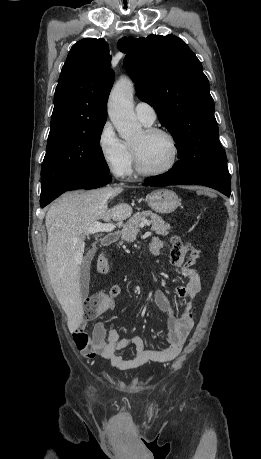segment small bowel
Returning <instances> with one entry per match:
<instances>
[{"label":"small bowel","mask_w":261,"mask_h":459,"mask_svg":"<svg viewBox=\"0 0 261 459\" xmlns=\"http://www.w3.org/2000/svg\"><path fill=\"white\" fill-rule=\"evenodd\" d=\"M150 251L158 254L166 251L170 257L171 268H178L186 279L185 286L174 289V294L181 300V309L176 312L170 298L162 290H156L154 301L166 317L167 335L166 347L160 350H145L143 340L139 336L121 339L115 329L107 331L103 322H98L91 333L86 330L85 322H79L73 329V340L76 349L87 359L95 357L107 360L110 366L118 371L137 369L148 363H167L173 361L181 353L186 339L194 325L192 302L201 290V278L194 265L199 257V251L182 244L178 239L170 244L153 238ZM121 293V286L114 284L108 294V301L101 310L104 314L113 308V299ZM133 346L135 354L130 359H125L117 352L126 347Z\"/></svg>","instance_id":"c3829d8e"}]
</instances>
